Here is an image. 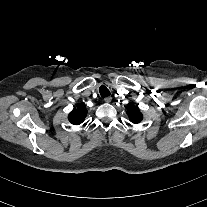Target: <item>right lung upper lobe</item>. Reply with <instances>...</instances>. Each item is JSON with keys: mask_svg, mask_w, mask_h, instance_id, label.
<instances>
[{"mask_svg": "<svg viewBox=\"0 0 207 207\" xmlns=\"http://www.w3.org/2000/svg\"><path fill=\"white\" fill-rule=\"evenodd\" d=\"M87 115V109L81 105L74 109L69 115L68 120L75 125L81 124Z\"/></svg>", "mask_w": 207, "mask_h": 207, "instance_id": "cb5924a9", "label": "right lung upper lobe"}]
</instances>
